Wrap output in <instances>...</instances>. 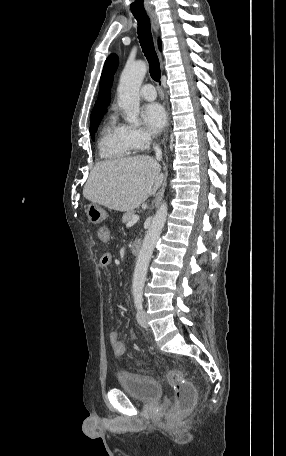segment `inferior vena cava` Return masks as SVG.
Wrapping results in <instances>:
<instances>
[{
    "label": "inferior vena cava",
    "instance_id": "1",
    "mask_svg": "<svg viewBox=\"0 0 286 456\" xmlns=\"http://www.w3.org/2000/svg\"><path fill=\"white\" fill-rule=\"evenodd\" d=\"M154 150H155V153H156V158L157 159H161L162 152H161L160 147L158 145H154Z\"/></svg>",
    "mask_w": 286,
    "mask_h": 456
}]
</instances>
